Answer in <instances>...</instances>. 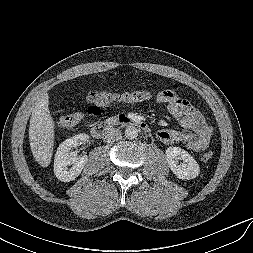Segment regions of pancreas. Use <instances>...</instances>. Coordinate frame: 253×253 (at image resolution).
Masks as SVG:
<instances>
[{"mask_svg":"<svg viewBox=\"0 0 253 253\" xmlns=\"http://www.w3.org/2000/svg\"><path fill=\"white\" fill-rule=\"evenodd\" d=\"M113 121V118H109L106 120V123H111Z\"/></svg>","mask_w":253,"mask_h":253,"instance_id":"obj_1","label":"pancreas"}]
</instances>
